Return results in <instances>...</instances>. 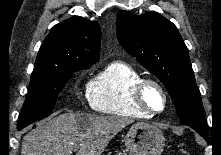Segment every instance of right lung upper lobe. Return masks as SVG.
Instances as JSON below:
<instances>
[{
  "label": "right lung upper lobe",
  "instance_id": "right-lung-upper-lobe-1",
  "mask_svg": "<svg viewBox=\"0 0 221 155\" xmlns=\"http://www.w3.org/2000/svg\"><path fill=\"white\" fill-rule=\"evenodd\" d=\"M101 29L95 21L72 17L55 25L42 43L34 66L72 67L99 60Z\"/></svg>",
  "mask_w": 221,
  "mask_h": 155
}]
</instances>
